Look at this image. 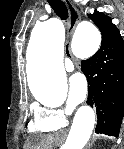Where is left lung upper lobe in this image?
Instances as JSON below:
<instances>
[{"label":"left lung upper lobe","instance_id":"1","mask_svg":"<svg viewBox=\"0 0 124 149\" xmlns=\"http://www.w3.org/2000/svg\"><path fill=\"white\" fill-rule=\"evenodd\" d=\"M102 33V38L121 36L117 27L112 23L111 19L101 12L95 11L89 14Z\"/></svg>","mask_w":124,"mask_h":149}]
</instances>
